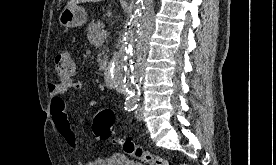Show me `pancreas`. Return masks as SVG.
I'll list each match as a JSON object with an SVG mask.
<instances>
[{
  "mask_svg": "<svg viewBox=\"0 0 276 165\" xmlns=\"http://www.w3.org/2000/svg\"><path fill=\"white\" fill-rule=\"evenodd\" d=\"M104 28V24L102 21L97 20L94 21L92 20L90 22V24L88 25V40L90 42L91 45L93 46H100L103 45V43L105 42V39H99L98 35L101 33V31ZM103 48L106 49L105 45H103ZM97 62L99 64V70L102 71L105 69L106 67V62H107V56H106V51H98L97 54Z\"/></svg>",
  "mask_w": 276,
  "mask_h": 165,
  "instance_id": "1",
  "label": "pancreas"
}]
</instances>
